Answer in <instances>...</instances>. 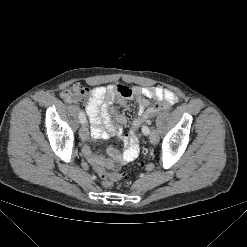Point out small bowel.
<instances>
[{
	"label": "small bowel",
	"instance_id": "obj_1",
	"mask_svg": "<svg viewBox=\"0 0 247 247\" xmlns=\"http://www.w3.org/2000/svg\"><path fill=\"white\" fill-rule=\"evenodd\" d=\"M118 87L113 85L95 86L89 88L79 84L64 89L60 96L66 103H77L86 100L85 111L91 123L93 139H108L118 136L123 142L125 149L119 153L116 149L108 150V157L101 155L94 149L86 146L83 153L89 163L96 170L98 167L104 169H118L121 165L134 160L139 153V141L134 131L130 134L124 133L126 124L124 115L118 113L114 107L120 104L125 110H129L128 101H134L137 105V113L141 115L150 103V99L166 102L170 105L177 103V96L170 90L160 87H134L130 89L129 96L119 94Z\"/></svg>",
	"mask_w": 247,
	"mask_h": 247
}]
</instances>
